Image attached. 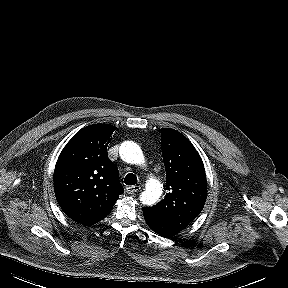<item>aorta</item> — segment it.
<instances>
[{"instance_id":"1","label":"aorta","mask_w":288,"mask_h":288,"mask_svg":"<svg viewBox=\"0 0 288 288\" xmlns=\"http://www.w3.org/2000/svg\"><path fill=\"white\" fill-rule=\"evenodd\" d=\"M120 156L123 161L131 164H140L144 160L141 148L133 141H125L120 146ZM163 192V185L157 179L151 178L146 189L140 195V201L145 205L156 203Z\"/></svg>"}]
</instances>
